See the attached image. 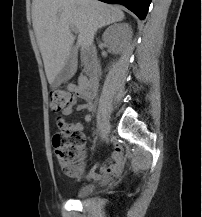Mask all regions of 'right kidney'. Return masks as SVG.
<instances>
[{"label": "right kidney", "mask_w": 202, "mask_h": 217, "mask_svg": "<svg viewBox=\"0 0 202 217\" xmlns=\"http://www.w3.org/2000/svg\"><path fill=\"white\" fill-rule=\"evenodd\" d=\"M103 41L111 46L114 53H120L132 38V29L127 23L109 26L103 34Z\"/></svg>", "instance_id": "right-kidney-1"}]
</instances>
